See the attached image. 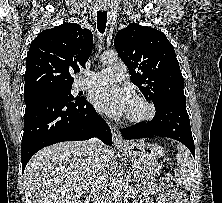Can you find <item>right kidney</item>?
<instances>
[{
	"label": "right kidney",
	"instance_id": "obj_1",
	"mask_svg": "<svg viewBox=\"0 0 222 203\" xmlns=\"http://www.w3.org/2000/svg\"><path fill=\"white\" fill-rule=\"evenodd\" d=\"M73 203H81V202L78 200V201H75V202H73Z\"/></svg>",
	"mask_w": 222,
	"mask_h": 203
}]
</instances>
